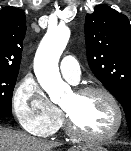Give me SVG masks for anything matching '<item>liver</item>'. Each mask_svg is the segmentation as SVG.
<instances>
[{"mask_svg": "<svg viewBox=\"0 0 131 151\" xmlns=\"http://www.w3.org/2000/svg\"><path fill=\"white\" fill-rule=\"evenodd\" d=\"M59 146L55 142H47L0 126V151H50ZM84 148H72L81 151Z\"/></svg>", "mask_w": 131, "mask_h": 151, "instance_id": "obj_1", "label": "liver"}]
</instances>
